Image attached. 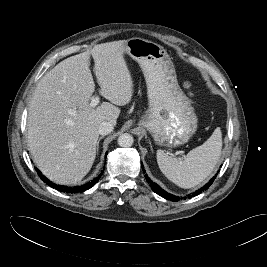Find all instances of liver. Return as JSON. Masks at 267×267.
<instances>
[{
    "label": "liver",
    "instance_id": "obj_1",
    "mask_svg": "<svg viewBox=\"0 0 267 267\" xmlns=\"http://www.w3.org/2000/svg\"><path fill=\"white\" fill-rule=\"evenodd\" d=\"M125 43L95 45L61 61L39 80L28 106L27 143L35 164L51 181H81L94 163L100 124L115 125L120 114L115 105L131 101L133 80L124 58ZM91 56L99 93L111 102L96 108L89 103L95 91Z\"/></svg>",
    "mask_w": 267,
    "mask_h": 267
}]
</instances>
